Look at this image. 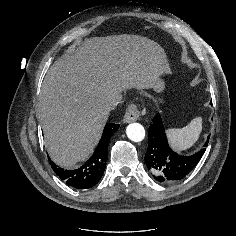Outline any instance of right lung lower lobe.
I'll use <instances>...</instances> for the list:
<instances>
[{
	"instance_id": "1",
	"label": "right lung lower lobe",
	"mask_w": 236,
	"mask_h": 236,
	"mask_svg": "<svg viewBox=\"0 0 236 236\" xmlns=\"http://www.w3.org/2000/svg\"><path fill=\"white\" fill-rule=\"evenodd\" d=\"M119 124H106L101 140L91 158L80 168L65 170L58 167L49 159L54 172L67 185L76 189H88L94 186L102 177L108 159V143L112 135L118 130Z\"/></svg>"
}]
</instances>
